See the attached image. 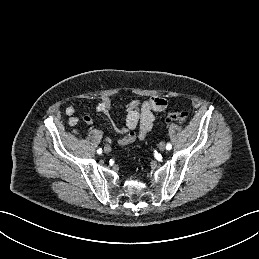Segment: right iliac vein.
I'll list each match as a JSON object with an SVG mask.
<instances>
[{
	"instance_id": "obj_1",
	"label": "right iliac vein",
	"mask_w": 259,
	"mask_h": 259,
	"mask_svg": "<svg viewBox=\"0 0 259 259\" xmlns=\"http://www.w3.org/2000/svg\"><path fill=\"white\" fill-rule=\"evenodd\" d=\"M104 152L107 153V154L110 153L111 152V147L109 145H106L104 147Z\"/></svg>"
}]
</instances>
